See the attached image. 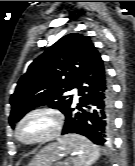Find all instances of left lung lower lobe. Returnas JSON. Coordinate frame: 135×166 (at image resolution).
<instances>
[{
    "mask_svg": "<svg viewBox=\"0 0 135 166\" xmlns=\"http://www.w3.org/2000/svg\"><path fill=\"white\" fill-rule=\"evenodd\" d=\"M83 83L87 86H83ZM82 96L74 112L73 103L63 113L66 116L62 134L77 133L93 143L105 146L113 133L114 105L112 88L100 54H96L76 86Z\"/></svg>",
    "mask_w": 135,
    "mask_h": 166,
    "instance_id": "left-lung-lower-lobe-1",
    "label": "left lung lower lobe"
}]
</instances>
